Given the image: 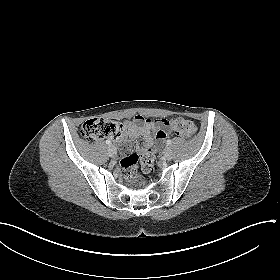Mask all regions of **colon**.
Returning <instances> with one entry per match:
<instances>
[{
    "label": "colon",
    "instance_id": "5ec220e1",
    "mask_svg": "<svg viewBox=\"0 0 280 280\" xmlns=\"http://www.w3.org/2000/svg\"><path fill=\"white\" fill-rule=\"evenodd\" d=\"M167 126L177 135L190 138L196 133V126L190 120L173 118L167 122ZM123 131L120 123L104 118H93L84 122L80 128L83 138L94 141L105 137H117ZM154 155L150 149L145 150L140 156L131 154L125 157L121 165L126 171V178L131 182H140L139 166L143 171L149 172L153 168Z\"/></svg>",
    "mask_w": 280,
    "mask_h": 280
}]
</instances>
